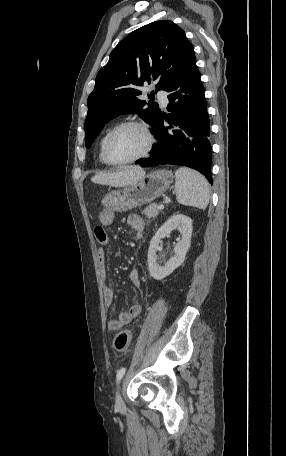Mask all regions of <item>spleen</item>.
Returning a JSON list of instances; mask_svg holds the SVG:
<instances>
[{
    "instance_id": "spleen-1",
    "label": "spleen",
    "mask_w": 286,
    "mask_h": 456,
    "mask_svg": "<svg viewBox=\"0 0 286 456\" xmlns=\"http://www.w3.org/2000/svg\"><path fill=\"white\" fill-rule=\"evenodd\" d=\"M177 201L185 206L205 209L209 203V186L203 175L195 170L181 167L175 172Z\"/></svg>"
}]
</instances>
